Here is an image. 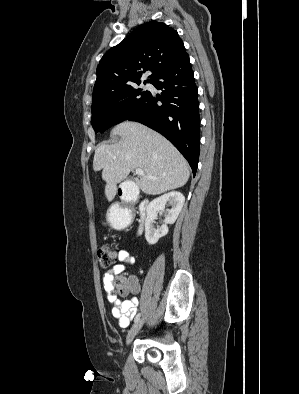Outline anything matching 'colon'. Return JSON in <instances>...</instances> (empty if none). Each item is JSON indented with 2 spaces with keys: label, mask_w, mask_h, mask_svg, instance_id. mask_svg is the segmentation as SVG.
Here are the masks:
<instances>
[{
  "label": "colon",
  "mask_w": 299,
  "mask_h": 394,
  "mask_svg": "<svg viewBox=\"0 0 299 394\" xmlns=\"http://www.w3.org/2000/svg\"><path fill=\"white\" fill-rule=\"evenodd\" d=\"M98 262L102 267H109L117 261V252L114 248L103 245L97 251ZM132 279L130 277L117 276L112 279L111 287L117 295H127L131 293Z\"/></svg>",
  "instance_id": "obj_1"
}]
</instances>
